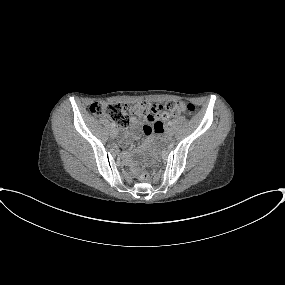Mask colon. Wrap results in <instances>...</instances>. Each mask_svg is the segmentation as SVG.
I'll list each match as a JSON object with an SVG mask.
<instances>
[{"label": "colon", "instance_id": "colon-1", "mask_svg": "<svg viewBox=\"0 0 285 285\" xmlns=\"http://www.w3.org/2000/svg\"><path fill=\"white\" fill-rule=\"evenodd\" d=\"M89 111L95 116H106L116 125L126 127L131 116L151 117L154 120H166L170 117L177 116L182 112L189 114L195 113V106L191 103L167 102L162 112L155 110L154 105L149 102H139L132 107L122 103H109L97 101L90 105ZM142 180H148L150 175L144 171H138Z\"/></svg>", "mask_w": 285, "mask_h": 285}]
</instances>
